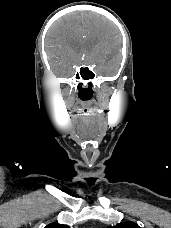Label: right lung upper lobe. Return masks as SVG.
<instances>
[{"instance_id": "right-lung-upper-lobe-1", "label": "right lung upper lobe", "mask_w": 171, "mask_h": 228, "mask_svg": "<svg viewBox=\"0 0 171 228\" xmlns=\"http://www.w3.org/2000/svg\"><path fill=\"white\" fill-rule=\"evenodd\" d=\"M45 228H69V227L58 223H51L47 225Z\"/></svg>"}]
</instances>
